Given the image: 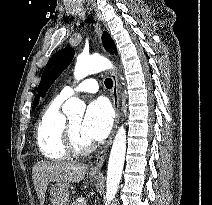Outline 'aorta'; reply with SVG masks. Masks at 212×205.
Instances as JSON below:
<instances>
[{
  "label": "aorta",
  "mask_w": 212,
  "mask_h": 205,
  "mask_svg": "<svg viewBox=\"0 0 212 205\" xmlns=\"http://www.w3.org/2000/svg\"><path fill=\"white\" fill-rule=\"evenodd\" d=\"M112 63L105 57L100 55L93 56H78L75 69L74 78L79 81L88 75L111 69ZM66 113H74L83 111L81 101L78 98H71L64 106ZM126 155V130L122 125L119 127L114 138L106 178V196L105 205H109L114 199L122 176L124 161Z\"/></svg>",
  "instance_id": "762f6f07"
}]
</instances>
